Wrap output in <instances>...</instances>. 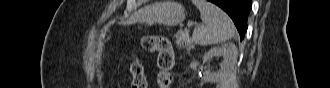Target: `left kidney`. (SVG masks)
<instances>
[{
	"mask_svg": "<svg viewBox=\"0 0 330 88\" xmlns=\"http://www.w3.org/2000/svg\"><path fill=\"white\" fill-rule=\"evenodd\" d=\"M214 56H223L224 63L220 64V69L217 71L207 70L203 73L202 79L208 83L222 82L230 75L237 63V48L233 43H224L218 47H213L204 54L203 62H208Z\"/></svg>",
	"mask_w": 330,
	"mask_h": 88,
	"instance_id": "1",
	"label": "left kidney"
}]
</instances>
